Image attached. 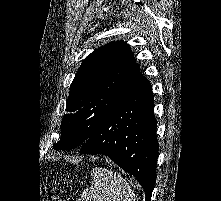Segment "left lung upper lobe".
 I'll use <instances>...</instances> for the list:
<instances>
[{"label": "left lung upper lobe", "instance_id": "5c2ea615", "mask_svg": "<svg viewBox=\"0 0 221 201\" xmlns=\"http://www.w3.org/2000/svg\"><path fill=\"white\" fill-rule=\"evenodd\" d=\"M148 80L127 43H108L86 57L71 83L57 150L82 146L109 111Z\"/></svg>", "mask_w": 221, "mask_h": 201}]
</instances>
